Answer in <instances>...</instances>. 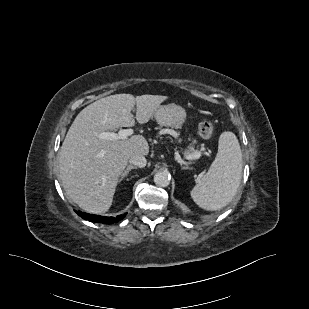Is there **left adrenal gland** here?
Here are the masks:
<instances>
[{
    "label": "left adrenal gland",
    "mask_w": 309,
    "mask_h": 309,
    "mask_svg": "<svg viewBox=\"0 0 309 309\" xmlns=\"http://www.w3.org/2000/svg\"><path fill=\"white\" fill-rule=\"evenodd\" d=\"M182 169L186 170V169H191V168L190 167H186V166H182Z\"/></svg>",
    "instance_id": "left-adrenal-gland-1"
}]
</instances>
